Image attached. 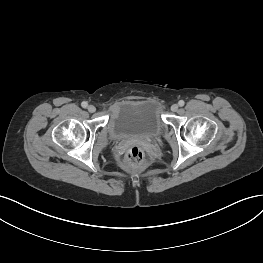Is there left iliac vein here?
Segmentation results:
<instances>
[{
	"instance_id": "left-iliac-vein-1",
	"label": "left iliac vein",
	"mask_w": 263,
	"mask_h": 263,
	"mask_svg": "<svg viewBox=\"0 0 263 263\" xmlns=\"http://www.w3.org/2000/svg\"><path fill=\"white\" fill-rule=\"evenodd\" d=\"M178 108H179V106H178L177 104H173V105L171 106V110H172L173 112H176V111L178 110Z\"/></svg>"
}]
</instances>
